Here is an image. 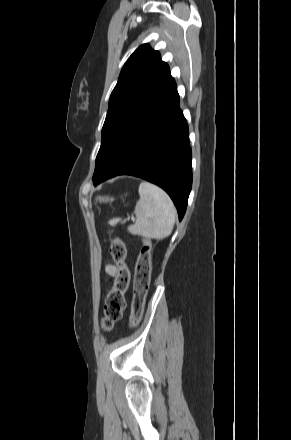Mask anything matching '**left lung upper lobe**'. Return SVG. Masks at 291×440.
Here are the masks:
<instances>
[{"mask_svg":"<svg viewBox=\"0 0 291 440\" xmlns=\"http://www.w3.org/2000/svg\"><path fill=\"white\" fill-rule=\"evenodd\" d=\"M172 79L168 65L148 44L138 47L129 57L110 96L94 175L129 125Z\"/></svg>","mask_w":291,"mask_h":440,"instance_id":"5c2ea615","label":"left lung upper lobe"}]
</instances>
